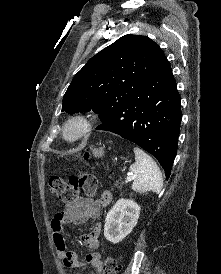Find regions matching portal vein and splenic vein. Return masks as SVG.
Listing matches in <instances>:
<instances>
[{"label": "portal vein and splenic vein", "mask_w": 221, "mask_h": 274, "mask_svg": "<svg viewBox=\"0 0 221 274\" xmlns=\"http://www.w3.org/2000/svg\"><path fill=\"white\" fill-rule=\"evenodd\" d=\"M132 179H134V176L128 175L126 178V182L131 181Z\"/></svg>", "instance_id": "18ae733b"}]
</instances>
